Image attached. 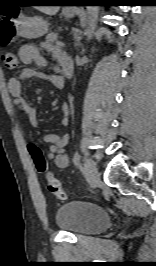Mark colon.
<instances>
[{
	"mask_svg": "<svg viewBox=\"0 0 156 266\" xmlns=\"http://www.w3.org/2000/svg\"><path fill=\"white\" fill-rule=\"evenodd\" d=\"M14 35V26L9 21V19L2 21V23L0 24V42H8L14 37ZM2 60L6 68L9 70H14L18 65V57L16 53L10 50L3 52ZM28 150L36 170L46 176L49 192L54 194L59 200H65L66 193L62 189L60 181L50 171L42 151L34 144H29Z\"/></svg>",
	"mask_w": 156,
	"mask_h": 266,
	"instance_id": "1",
	"label": "colon"
}]
</instances>
